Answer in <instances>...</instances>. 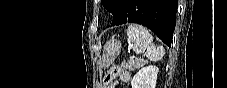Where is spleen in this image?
<instances>
[{
  "label": "spleen",
  "mask_w": 227,
  "mask_h": 88,
  "mask_svg": "<svg viewBox=\"0 0 227 88\" xmlns=\"http://www.w3.org/2000/svg\"><path fill=\"white\" fill-rule=\"evenodd\" d=\"M128 43L136 54L145 53L151 61H159L164 57L165 49L153 43V36L138 24H131L127 29Z\"/></svg>",
  "instance_id": "spleen-1"
}]
</instances>
